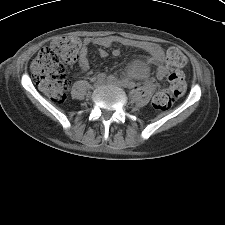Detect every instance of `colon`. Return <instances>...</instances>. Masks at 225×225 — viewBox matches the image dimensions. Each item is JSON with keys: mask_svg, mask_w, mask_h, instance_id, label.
<instances>
[{"mask_svg": "<svg viewBox=\"0 0 225 225\" xmlns=\"http://www.w3.org/2000/svg\"><path fill=\"white\" fill-rule=\"evenodd\" d=\"M79 41L72 36H60L43 47L31 65V73L39 89L52 101L62 102L66 98L69 82L65 64L74 63L78 58ZM186 56L177 48L166 53V66L160 67L158 76L166 78L169 86L159 90L153 97V106L166 111L184 92L185 77L182 68Z\"/></svg>", "mask_w": 225, "mask_h": 225, "instance_id": "colon-1", "label": "colon"}]
</instances>
